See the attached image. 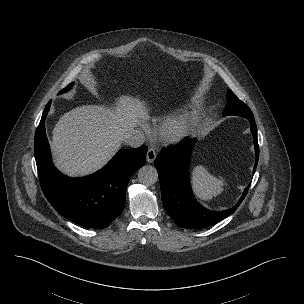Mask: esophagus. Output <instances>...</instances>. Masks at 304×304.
<instances>
[{"label":"esophagus","instance_id":"1","mask_svg":"<svg viewBox=\"0 0 304 304\" xmlns=\"http://www.w3.org/2000/svg\"><path fill=\"white\" fill-rule=\"evenodd\" d=\"M157 154L153 148H149L147 151L146 159L148 163H153Z\"/></svg>","mask_w":304,"mask_h":304}]
</instances>
